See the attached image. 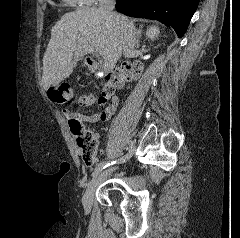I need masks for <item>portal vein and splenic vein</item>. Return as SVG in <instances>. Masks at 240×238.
<instances>
[{
	"label": "portal vein and splenic vein",
	"mask_w": 240,
	"mask_h": 238,
	"mask_svg": "<svg viewBox=\"0 0 240 238\" xmlns=\"http://www.w3.org/2000/svg\"><path fill=\"white\" fill-rule=\"evenodd\" d=\"M85 51H86V53H92V54L96 52V50L94 49V47H93L92 45H88V46L85 48ZM111 67H113L112 62L106 61V62L104 63V68H105V69H109V68H111Z\"/></svg>",
	"instance_id": "obj_1"
}]
</instances>
